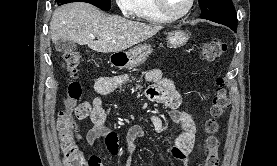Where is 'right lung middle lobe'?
<instances>
[{
    "mask_svg": "<svg viewBox=\"0 0 277 166\" xmlns=\"http://www.w3.org/2000/svg\"><path fill=\"white\" fill-rule=\"evenodd\" d=\"M58 5L70 3V2H87L102 10H109L111 7L110 0H57Z\"/></svg>",
    "mask_w": 277,
    "mask_h": 166,
    "instance_id": "obj_1",
    "label": "right lung middle lobe"
}]
</instances>
